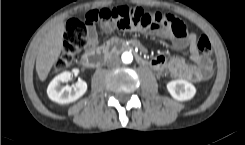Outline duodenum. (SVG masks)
<instances>
[{
    "label": "duodenum",
    "instance_id": "410a0bca",
    "mask_svg": "<svg viewBox=\"0 0 245 145\" xmlns=\"http://www.w3.org/2000/svg\"><path fill=\"white\" fill-rule=\"evenodd\" d=\"M134 48V44H125L118 40H112L100 48L88 50L82 57V63L88 68H96L101 65L104 57L113 50H122L133 53L140 64L147 65V61Z\"/></svg>",
    "mask_w": 245,
    "mask_h": 145
}]
</instances>
